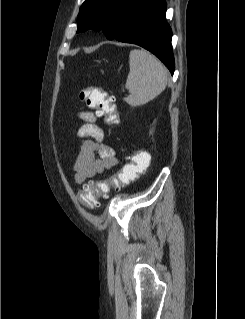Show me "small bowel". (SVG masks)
<instances>
[{
    "instance_id": "c3829d8e",
    "label": "small bowel",
    "mask_w": 245,
    "mask_h": 319,
    "mask_svg": "<svg viewBox=\"0 0 245 319\" xmlns=\"http://www.w3.org/2000/svg\"><path fill=\"white\" fill-rule=\"evenodd\" d=\"M97 116L87 111L79 114L85 123L76 134L83 140L73 166L77 183H83L117 164L113 148L105 143L104 131L96 123Z\"/></svg>"
}]
</instances>
